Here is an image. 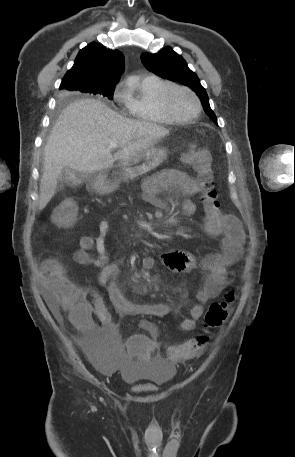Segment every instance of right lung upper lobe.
Masks as SVG:
<instances>
[{"instance_id": "right-lung-upper-lobe-1", "label": "right lung upper lobe", "mask_w": 295, "mask_h": 457, "mask_svg": "<svg viewBox=\"0 0 295 457\" xmlns=\"http://www.w3.org/2000/svg\"><path fill=\"white\" fill-rule=\"evenodd\" d=\"M123 70L124 56L119 50L92 42L80 50L60 89L75 90L74 84H85L92 89L116 85Z\"/></svg>"}]
</instances>
